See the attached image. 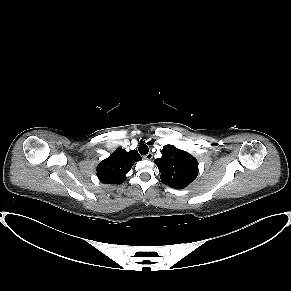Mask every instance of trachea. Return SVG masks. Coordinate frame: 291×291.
<instances>
[{
	"label": "trachea",
	"instance_id": "trachea-1",
	"mask_svg": "<svg viewBox=\"0 0 291 291\" xmlns=\"http://www.w3.org/2000/svg\"><path fill=\"white\" fill-rule=\"evenodd\" d=\"M138 150H139V153H140L141 155H146V154H148V152H149V148H148V146H147L146 144H141V145L139 146Z\"/></svg>",
	"mask_w": 291,
	"mask_h": 291
}]
</instances>
